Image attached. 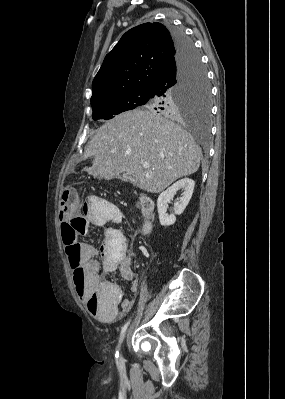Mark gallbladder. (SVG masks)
Returning a JSON list of instances; mask_svg holds the SVG:
<instances>
[{
	"mask_svg": "<svg viewBox=\"0 0 285 399\" xmlns=\"http://www.w3.org/2000/svg\"><path fill=\"white\" fill-rule=\"evenodd\" d=\"M122 179H124V180H133V178L131 177V176H129V175H127V174H124L123 176H122Z\"/></svg>",
	"mask_w": 285,
	"mask_h": 399,
	"instance_id": "1",
	"label": "gallbladder"
}]
</instances>
